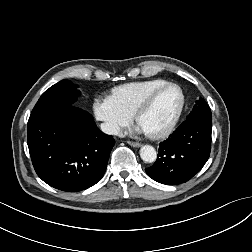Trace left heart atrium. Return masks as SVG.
<instances>
[{
    "label": "left heart atrium",
    "mask_w": 252,
    "mask_h": 252,
    "mask_svg": "<svg viewBox=\"0 0 252 252\" xmlns=\"http://www.w3.org/2000/svg\"><path fill=\"white\" fill-rule=\"evenodd\" d=\"M136 131L139 133H149L140 123L137 125Z\"/></svg>",
    "instance_id": "39dd6f15"
}]
</instances>
